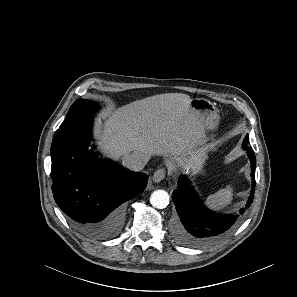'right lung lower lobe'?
Listing matches in <instances>:
<instances>
[{
  "mask_svg": "<svg viewBox=\"0 0 297 297\" xmlns=\"http://www.w3.org/2000/svg\"><path fill=\"white\" fill-rule=\"evenodd\" d=\"M91 126L92 117L88 116L56 131L51 146L52 191L80 233L107 239L122 227V204L143 192L149 177L97 158L89 149Z\"/></svg>",
  "mask_w": 297,
  "mask_h": 297,
  "instance_id": "1",
  "label": "right lung lower lobe"
}]
</instances>
